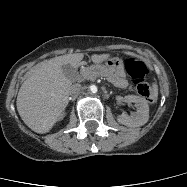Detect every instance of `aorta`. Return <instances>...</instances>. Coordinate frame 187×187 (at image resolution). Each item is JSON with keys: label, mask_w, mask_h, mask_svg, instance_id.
Returning a JSON list of instances; mask_svg holds the SVG:
<instances>
[{"label": "aorta", "mask_w": 187, "mask_h": 187, "mask_svg": "<svg viewBox=\"0 0 187 187\" xmlns=\"http://www.w3.org/2000/svg\"><path fill=\"white\" fill-rule=\"evenodd\" d=\"M90 90H91L92 93H96L97 92V87L95 85H91Z\"/></svg>", "instance_id": "1"}]
</instances>
